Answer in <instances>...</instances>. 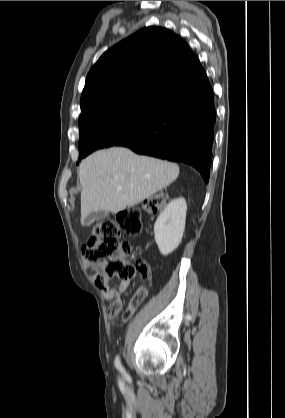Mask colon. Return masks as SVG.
Returning a JSON list of instances; mask_svg holds the SVG:
<instances>
[{
    "label": "colon",
    "instance_id": "1",
    "mask_svg": "<svg viewBox=\"0 0 285 418\" xmlns=\"http://www.w3.org/2000/svg\"><path fill=\"white\" fill-rule=\"evenodd\" d=\"M166 194L159 193L145 202L117 214V220H104L90 228L82 253L85 262L101 265L94 283L103 290L110 287L115 279L133 277L138 265L128 260L131 246L120 241L122 232L128 235H138L142 231V216L160 210L165 203ZM149 293V285L141 283L136 289L133 300L143 302Z\"/></svg>",
    "mask_w": 285,
    "mask_h": 418
}]
</instances>
